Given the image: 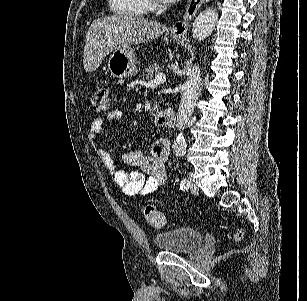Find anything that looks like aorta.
Here are the masks:
<instances>
[{"instance_id": "762f6f07", "label": "aorta", "mask_w": 307, "mask_h": 301, "mask_svg": "<svg viewBox=\"0 0 307 301\" xmlns=\"http://www.w3.org/2000/svg\"><path fill=\"white\" fill-rule=\"evenodd\" d=\"M218 16L219 14L216 8H205V10H202L193 22V38H196V40L207 38V36L213 32ZM200 80V68L195 64V66L190 68L189 76L185 82V88L178 108L176 120L178 134L172 144L175 153H184V151H186V140L183 130L186 122H188L191 114H193L195 110L196 100H198Z\"/></svg>"}]
</instances>
